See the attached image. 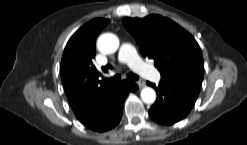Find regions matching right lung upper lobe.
Here are the masks:
<instances>
[{
    "label": "right lung upper lobe",
    "instance_id": "obj_1",
    "mask_svg": "<svg viewBox=\"0 0 247 145\" xmlns=\"http://www.w3.org/2000/svg\"><path fill=\"white\" fill-rule=\"evenodd\" d=\"M109 19L96 18L78 29L69 39L61 60V79L71 107L77 118L85 115L110 94L116 85L99 80L93 58L96 37ZM110 66L103 67L107 72Z\"/></svg>",
    "mask_w": 247,
    "mask_h": 145
}]
</instances>
